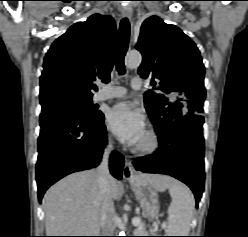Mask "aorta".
<instances>
[{
	"instance_id": "obj_1",
	"label": "aorta",
	"mask_w": 248,
	"mask_h": 237,
	"mask_svg": "<svg viewBox=\"0 0 248 237\" xmlns=\"http://www.w3.org/2000/svg\"><path fill=\"white\" fill-rule=\"evenodd\" d=\"M141 62H142V56L139 52H136V51H131V52L127 53V55L125 57V65L129 69H135V68L139 67Z\"/></svg>"
}]
</instances>
